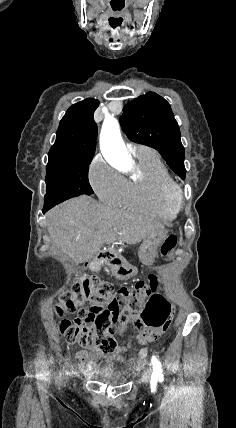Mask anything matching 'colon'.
Returning <instances> with one entry per match:
<instances>
[{
  "instance_id": "obj_1",
  "label": "colon",
  "mask_w": 236,
  "mask_h": 428,
  "mask_svg": "<svg viewBox=\"0 0 236 428\" xmlns=\"http://www.w3.org/2000/svg\"><path fill=\"white\" fill-rule=\"evenodd\" d=\"M177 238L169 235L161 246L163 256L169 255ZM158 278L151 275L133 287L123 286L117 291L108 283L97 279H83L63 292L56 312H77L74 320H62L60 333L69 344L94 352L112 353L117 346L115 325L132 326L136 330L165 331L172 319L169 302L154 293ZM151 295V296H150ZM150 299L143 307L146 297ZM140 312V318L137 313Z\"/></svg>"
}]
</instances>
